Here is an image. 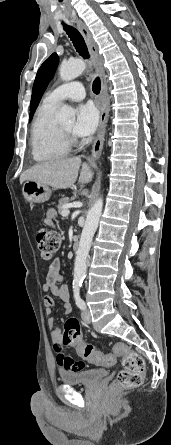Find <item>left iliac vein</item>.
<instances>
[{
	"label": "left iliac vein",
	"mask_w": 171,
	"mask_h": 445,
	"mask_svg": "<svg viewBox=\"0 0 171 445\" xmlns=\"http://www.w3.org/2000/svg\"><path fill=\"white\" fill-rule=\"evenodd\" d=\"M81 317L85 323H87V324L91 323V315H90V311L88 308H85L82 311Z\"/></svg>",
	"instance_id": "1"
}]
</instances>
